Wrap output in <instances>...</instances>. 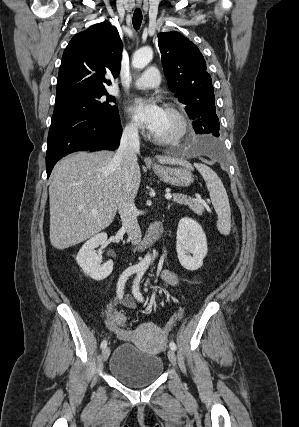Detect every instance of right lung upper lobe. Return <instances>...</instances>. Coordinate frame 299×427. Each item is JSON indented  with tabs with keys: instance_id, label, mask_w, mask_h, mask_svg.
<instances>
[{
	"instance_id": "right-lung-upper-lobe-1",
	"label": "right lung upper lobe",
	"mask_w": 299,
	"mask_h": 427,
	"mask_svg": "<svg viewBox=\"0 0 299 427\" xmlns=\"http://www.w3.org/2000/svg\"><path fill=\"white\" fill-rule=\"evenodd\" d=\"M122 41L117 29L102 22L76 34L65 48L57 80L56 101L106 91L107 76L120 72Z\"/></svg>"
}]
</instances>
